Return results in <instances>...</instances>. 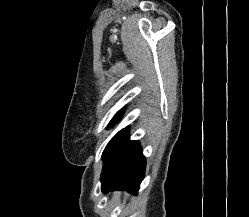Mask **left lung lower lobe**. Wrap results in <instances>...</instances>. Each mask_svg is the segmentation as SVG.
<instances>
[{"label":"left lung lower lobe","instance_id":"obj_1","mask_svg":"<svg viewBox=\"0 0 249 217\" xmlns=\"http://www.w3.org/2000/svg\"><path fill=\"white\" fill-rule=\"evenodd\" d=\"M145 166L146 160L139 142L129 140L128 127L122 129L111 171L101 174L102 191L126 190L136 194L144 177Z\"/></svg>","mask_w":249,"mask_h":217}]
</instances>
